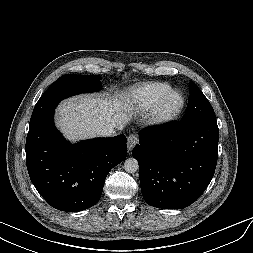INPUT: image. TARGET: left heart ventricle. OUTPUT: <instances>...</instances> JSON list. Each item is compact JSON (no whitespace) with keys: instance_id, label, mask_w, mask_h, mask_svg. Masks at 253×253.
<instances>
[{"instance_id":"obj_1","label":"left heart ventricle","mask_w":253,"mask_h":253,"mask_svg":"<svg viewBox=\"0 0 253 253\" xmlns=\"http://www.w3.org/2000/svg\"><path fill=\"white\" fill-rule=\"evenodd\" d=\"M180 104V97L178 95L171 96L165 103L164 109L171 111L176 109Z\"/></svg>"}]
</instances>
